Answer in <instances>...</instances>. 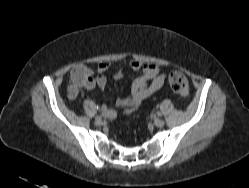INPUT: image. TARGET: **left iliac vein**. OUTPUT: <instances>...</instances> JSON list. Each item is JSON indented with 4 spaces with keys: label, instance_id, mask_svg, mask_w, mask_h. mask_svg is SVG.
Listing matches in <instances>:
<instances>
[{
    "label": "left iliac vein",
    "instance_id": "4c4485c4",
    "mask_svg": "<svg viewBox=\"0 0 249 188\" xmlns=\"http://www.w3.org/2000/svg\"><path fill=\"white\" fill-rule=\"evenodd\" d=\"M154 124L157 126V127H163L164 126V124H165V122L162 120V119H156L155 121H154Z\"/></svg>",
    "mask_w": 249,
    "mask_h": 188
}]
</instances>
